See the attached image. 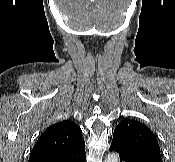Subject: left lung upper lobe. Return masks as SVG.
<instances>
[{"mask_svg": "<svg viewBox=\"0 0 175 162\" xmlns=\"http://www.w3.org/2000/svg\"><path fill=\"white\" fill-rule=\"evenodd\" d=\"M112 143L129 151L145 148L160 151L153 132L146 125L132 119H124L117 125Z\"/></svg>", "mask_w": 175, "mask_h": 162, "instance_id": "left-lung-upper-lobe-1", "label": "left lung upper lobe"}]
</instances>
